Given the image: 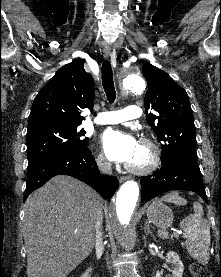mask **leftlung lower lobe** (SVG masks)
<instances>
[{"label":"left lung lower lobe","mask_w":221,"mask_h":277,"mask_svg":"<svg viewBox=\"0 0 221 277\" xmlns=\"http://www.w3.org/2000/svg\"><path fill=\"white\" fill-rule=\"evenodd\" d=\"M140 182L142 202L168 191L189 190L198 193L208 203L201 172H196L184 165L174 164L163 167L154 175L142 177Z\"/></svg>","instance_id":"1"}]
</instances>
